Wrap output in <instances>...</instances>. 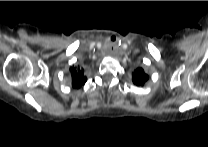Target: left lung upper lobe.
<instances>
[{
	"instance_id": "obj_1",
	"label": "left lung upper lobe",
	"mask_w": 208,
	"mask_h": 147,
	"mask_svg": "<svg viewBox=\"0 0 208 147\" xmlns=\"http://www.w3.org/2000/svg\"><path fill=\"white\" fill-rule=\"evenodd\" d=\"M148 78V75L144 72L142 68H138L134 71V73H132V81L138 86L144 85Z\"/></svg>"
}]
</instances>
